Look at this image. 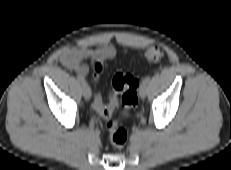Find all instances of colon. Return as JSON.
<instances>
[{
    "label": "colon",
    "instance_id": "5ec220e1",
    "mask_svg": "<svg viewBox=\"0 0 231 170\" xmlns=\"http://www.w3.org/2000/svg\"><path fill=\"white\" fill-rule=\"evenodd\" d=\"M163 56V51L158 46H151L144 52V59L149 62L159 61ZM106 66L105 60L98 61L93 66V76L95 80H99L104 68ZM138 80L130 75L124 73H117L112 79V91L109 95V104H104L100 93L96 92L93 96L92 106L100 115L107 118V129L109 131V139L115 148H122L125 146L128 133L125 128L120 126L115 120L111 119L113 108L119 101L121 95V103L124 108L123 115L134 109L138 103Z\"/></svg>",
    "mask_w": 231,
    "mask_h": 170
}]
</instances>
